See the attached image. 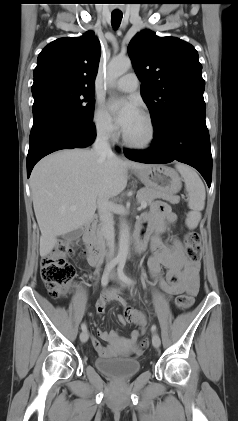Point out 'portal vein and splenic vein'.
Wrapping results in <instances>:
<instances>
[{"label": "portal vein and splenic vein", "instance_id": "18ae733b", "mask_svg": "<svg viewBox=\"0 0 238 421\" xmlns=\"http://www.w3.org/2000/svg\"><path fill=\"white\" fill-rule=\"evenodd\" d=\"M146 203H142L141 205H140V207H139V210H141V209H145L146 208ZM76 207L75 206H73L72 207V209H75Z\"/></svg>", "mask_w": 238, "mask_h": 421}]
</instances>
